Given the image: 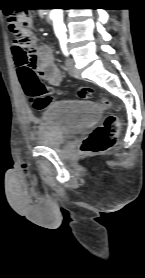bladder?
<instances>
[{
	"instance_id": "31cf9c89",
	"label": "bladder",
	"mask_w": 145,
	"mask_h": 278,
	"mask_svg": "<svg viewBox=\"0 0 145 278\" xmlns=\"http://www.w3.org/2000/svg\"><path fill=\"white\" fill-rule=\"evenodd\" d=\"M100 117L94 102L65 100L50 103L38 117L33 142L39 147L63 148L68 140L93 127Z\"/></svg>"
}]
</instances>
